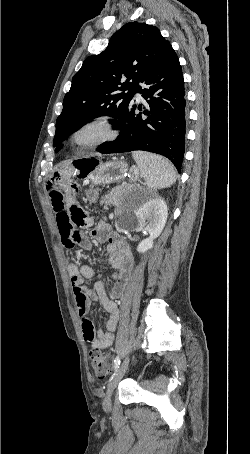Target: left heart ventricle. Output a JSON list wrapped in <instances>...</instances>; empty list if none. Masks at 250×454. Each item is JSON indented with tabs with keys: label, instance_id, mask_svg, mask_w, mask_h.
<instances>
[{
	"label": "left heart ventricle",
	"instance_id": "b2bd125f",
	"mask_svg": "<svg viewBox=\"0 0 250 454\" xmlns=\"http://www.w3.org/2000/svg\"><path fill=\"white\" fill-rule=\"evenodd\" d=\"M94 135H95L94 132H87V133H85V134L81 137V140H82V141L88 140V139H90L91 137H93Z\"/></svg>",
	"mask_w": 250,
	"mask_h": 454
}]
</instances>
